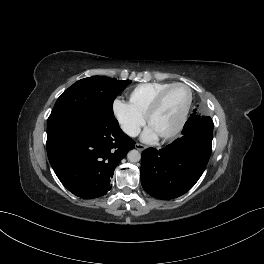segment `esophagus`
I'll return each instance as SVG.
<instances>
[{
    "label": "esophagus",
    "instance_id": "esophagus-1",
    "mask_svg": "<svg viewBox=\"0 0 264 264\" xmlns=\"http://www.w3.org/2000/svg\"><path fill=\"white\" fill-rule=\"evenodd\" d=\"M135 148L139 151H142L144 150L146 147L143 145V144H140V143H136L135 144Z\"/></svg>",
    "mask_w": 264,
    "mask_h": 264
}]
</instances>
